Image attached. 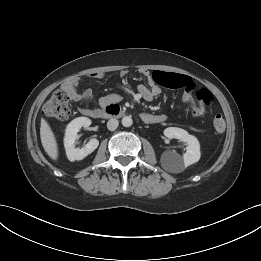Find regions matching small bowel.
Listing matches in <instances>:
<instances>
[{
    "label": "small bowel",
    "instance_id": "small-bowel-1",
    "mask_svg": "<svg viewBox=\"0 0 261 261\" xmlns=\"http://www.w3.org/2000/svg\"><path fill=\"white\" fill-rule=\"evenodd\" d=\"M142 76L145 78L147 85H139L137 92L138 95L147 101L152 100L154 97L160 94L161 87L165 86L168 88H182L183 89V101L188 103L192 109L194 115L198 116L204 112V109L200 105H196L193 100V91L195 89V84L191 81L188 76L176 74V73H168L162 71H155L150 73L148 70L141 71ZM126 71L121 72V76H125ZM104 74L101 72H95L90 74L91 78L101 79ZM79 78H72L66 81L63 84V89L68 93L70 99L73 102H79L82 100H89L92 97V91L90 89H86L82 93L78 91ZM114 100L113 96H105L101 98L100 104L106 105L109 102ZM94 109L89 108H80V112L84 115H90ZM149 119L148 123H159L166 119L165 115H152V114H144Z\"/></svg>",
    "mask_w": 261,
    "mask_h": 261
}]
</instances>
